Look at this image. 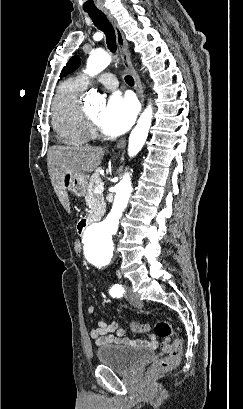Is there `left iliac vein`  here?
Listing matches in <instances>:
<instances>
[{"instance_id":"left-iliac-vein-1","label":"left iliac vein","mask_w":243,"mask_h":409,"mask_svg":"<svg viewBox=\"0 0 243 409\" xmlns=\"http://www.w3.org/2000/svg\"><path fill=\"white\" fill-rule=\"evenodd\" d=\"M126 290H127V295H126V297H127V299L129 300V302H130L133 306L141 307V306H142V301L139 299V297L136 296V295H134V294L131 293V292H128V289H126Z\"/></svg>"}]
</instances>
